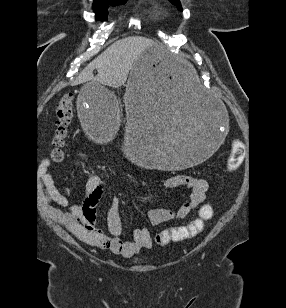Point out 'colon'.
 I'll use <instances>...</instances> for the list:
<instances>
[{"mask_svg": "<svg viewBox=\"0 0 286 308\" xmlns=\"http://www.w3.org/2000/svg\"><path fill=\"white\" fill-rule=\"evenodd\" d=\"M73 117V97L72 94H65L56 108V129L52 136L53 149L50 156L54 161L62 159L61 148L65 142L68 134V127ZM245 145L239 141H233L231 145L230 155L227 160L226 169L230 172L238 169L244 161ZM213 215V208L211 205H203L198 214V218L189 224L168 228L160 231L156 235V243L159 246L167 245L172 241H182L188 238L197 236L203 231L204 222L210 219Z\"/></svg>", "mask_w": 286, "mask_h": 308, "instance_id": "colon-1", "label": "colon"}]
</instances>
